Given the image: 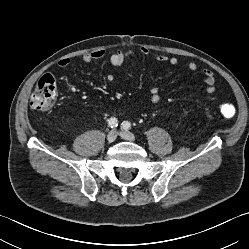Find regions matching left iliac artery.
<instances>
[{
  "mask_svg": "<svg viewBox=\"0 0 249 249\" xmlns=\"http://www.w3.org/2000/svg\"><path fill=\"white\" fill-rule=\"evenodd\" d=\"M121 128L124 129V130H129L131 128V124L130 122L128 121H124L122 124H121Z\"/></svg>",
  "mask_w": 249,
  "mask_h": 249,
  "instance_id": "obj_1",
  "label": "left iliac artery"
}]
</instances>
